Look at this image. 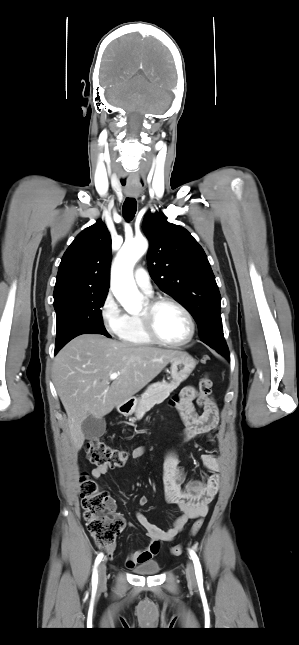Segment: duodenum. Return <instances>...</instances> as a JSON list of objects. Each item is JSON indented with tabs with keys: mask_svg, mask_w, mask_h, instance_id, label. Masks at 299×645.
Instances as JSON below:
<instances>
[{
	"mask_svg": "<svg viewBox=\"0 0 299 645\" xmlns=\"http://www.w3.org/2000/svg\"><path fill=\"white\" fill-rule=\"evenodd\" d=\"M128 410H129V406H128V404H123V405L120 407V411H121V412H123V413H124V412H128Z\"/></svg>",
	"mask_w": 299,
	"mask_h": 645,
	"instance_id": "410a0bca",
	"label": "duodenum"
}]
</instances>
